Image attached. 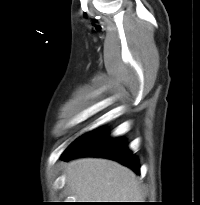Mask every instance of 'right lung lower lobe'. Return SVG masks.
Instances as JSON below:
<instances>
[{
    "label": "right lung lower lobe",
    "instance_id": "98d812e1",
    "mask_svg": "<svg viewBox=\"0 0 200 205\" xmlns=\"http://www.w3.org/2000/svg\"><path fill=\"white\" fill-rule=\"evenodd\" d=\"M94 156L116 160L139 173L138 159L129 151L125 140L111 139L105 131L94 130L75 140L63 152L61 159Z\"/></svg>",
    "mask_w": 200,
    "mask_h": 205
}]
</instances>
